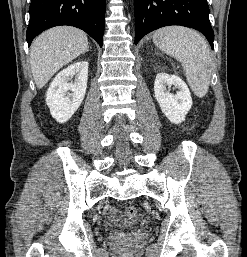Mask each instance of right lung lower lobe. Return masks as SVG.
Masks as SVG:
<instances>
[{
    "label": "right lung lower lobe",
    "mask_w": 247,
    "mask_h": 257,
    "mask_svg": "<svg viewBox=\"0 0 247 257\" xmlns=\"http://www.w3.org/2000/svg\"><path fill=\"white\" fill-rule=\"evenodd\" d=\"M106 0H32L28 46L42 31L59 25L82 29L102 47Z\"/></svg>",
    "instance_id": "right-lung-lower-lobe-1"
}]
</instances>
